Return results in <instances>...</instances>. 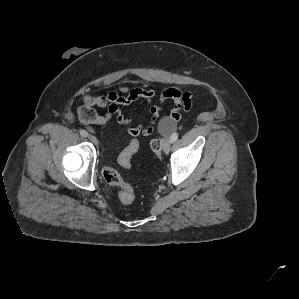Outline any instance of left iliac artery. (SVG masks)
I'll return each instance as SVG.
<instances>
[{"label":"left iliac artery","instance_id":"44dca946","mask_svg":"<svg viewBox=\"0 0 299 299\" xmlns=\"http://www.w3.org/2000/svg\"><path fill=\"white\" fill-rule=\"evenodd\" d=\"M178 139V133H173L170 137L171 142H175Z\"/></svg>","mask_w":299,"mask_h":299}]
</instances>
